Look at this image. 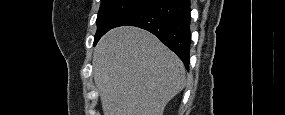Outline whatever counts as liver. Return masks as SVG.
<instances>
[{"label": "liver", "mask_w": 285, "mask_h": 115, "mask_svg": "<svg viewBox=\"0 0 285 115\" xmlns=\"http://www.w3.org/2000/svg\"><path fill=\"white\" fill-rule=\"evenodd\" d=\"M93 73L104 115H163L186 85L181 60L153 34L131 26L100 39Z\"/></svg>", "instance_id": "6515ba94"}]
</instances>
